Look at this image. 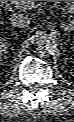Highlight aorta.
<instances>
[{"label":"aorta","instance_id":"762f6f07","mask_svg":"<svg viewBox=\"0 0 74 122\" xmlns=\"http://www.w3.org/2000/svg\"><path fill=\"white\" fill-rule=\"evenodd\" d=\"M58 48V40L51 34H42L37 40V51L43 56L53 55Z\"/></svg>","mask_w":74,"mask_h":122}]
</instances>
